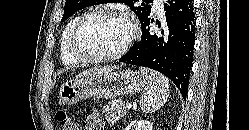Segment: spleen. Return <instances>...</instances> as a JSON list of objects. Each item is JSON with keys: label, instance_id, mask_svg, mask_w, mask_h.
<instances>
[{"label": "spleen", "instance_id": "obj_1", "mask_svg": "<svg viewBox=\"0 0 249 130\" xmlns=\"http://www.w3.org/2000/svg\"><path fill=\"white\" fill-rule=\"evenodd\" d=\"M140 69L147 83V90L140 98V108L145 113L155 112L164 106L168 98V79L157 71L147 68Z\"/></svg>", "mask_w": 249, "mask_h": 130}]
</instances>
